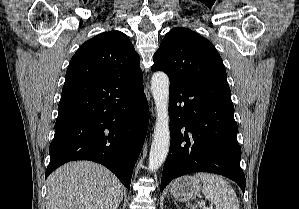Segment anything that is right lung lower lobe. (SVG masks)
Returning a JSON list of instances; mask_svg holds the SVG:
<instances>
[{"mask_svg":"<svg viewBox=\"0 0 299 209\" xmlns=\"http://www.w3.org/2000/svg\"><path fill=\"white\" fill-rule=\"evenodd\" d=\"M58 110L45 177L66 162L91 160L110 169L129 189L149 122L143 79L64 84Z\"/></svg>","mask_w":299,"mask_h":209,"instance_id":"1","label":"right lung lower lobe"}]
</instances>
